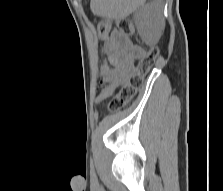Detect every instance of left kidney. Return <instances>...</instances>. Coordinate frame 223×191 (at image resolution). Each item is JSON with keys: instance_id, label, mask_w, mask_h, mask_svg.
Listing matches in <instances>:
<instances>
[{"instance_id": "1", "label": "left kidney", "mask_w": 223, "mask_h": 191, "mask_svg": "<svg viewBox=\"0 0 223 191\" xmlns=\"http://www.w3.org/2000/svg\"><path fill=\"white\" fill-rule=\"evenodd\" d=\"M136 25L145 43L156 44L164 29L161 1H154L145 5L136 16Z\"/></svg>"}]
</instances>
